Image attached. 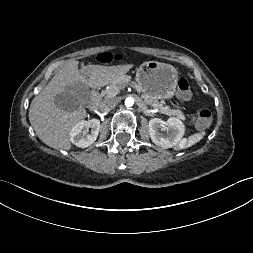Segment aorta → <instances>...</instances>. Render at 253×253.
Wrapping results in <instances>:
<instances>
[{
    "label": "aorta",
    "instance_id": "1",
    "mask_svg": "<svg viewBox=\"0 0 253 253\" xmlns=\"http://www.w3.org/2000/svg\"><path fill=\"white\" fill-rule=\"evenodd\" d=\"M125 105L127 107H131L134 105V99L132 97H127L125 100Z\"/></svg>",
    "mask_w": 253,
    "mask_h": 253
}]
</instances>
